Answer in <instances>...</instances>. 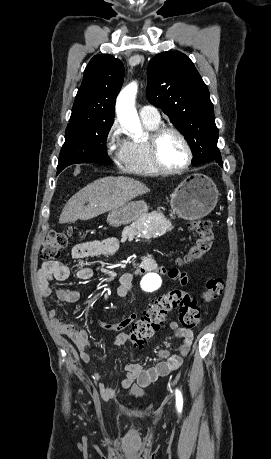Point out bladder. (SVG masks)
I'll use <instances>...</instances> for the list:
<instances>
[{
    "instance_id": "bladder-1",
    "label": "bladder",
    "mask_w": 271,
    "mask_h": 459,
    "mask_svg": "<svg viewBox=\"0 0 271 459\" xmlns=\"http://www.w3.org/2000/svg\"><path fill=\"white\" fill-rule=\"evenodd\" d=\"M132 394H134V395H140V394H142V391H141V390L133 391Z\"/></svg>"
}]
</instances>
